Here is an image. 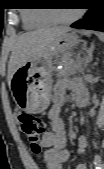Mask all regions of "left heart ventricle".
<instances>
[{
	"label": "left heart ventricle",
	"instance_id": "b2bd125f",
	"mask_svg": "<svg viewBox=\"0 0 104 169\" xmlns=\"http://www.w3.org/2000/svg\"><path fill=\"white\" fill-rule=\"evenodd\" d=\"M56 12L59 17L66 18V17L72 16L75 13V10L74 9H61V10H57Z\"/></svg>",
	"mask_w": 104,
	"mask_h": 169
}]
</instances>
